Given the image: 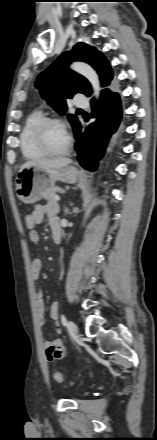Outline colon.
Masks as SVG:
<instances>
[{
  "label": "colon",
  "instance_id": "1",
  "mask_svg": "<svg viewBox=\"0 0 157 440\" xmlns=\"http://www.w3.org/2000/svg\"><path fill=\"white\" fill-rule=\"evenodd\" d=\"M25 221V226L27 229H29L30 231L35 230L37 223L32 215V213L27 214L24 218ZM63 348L61 346H54L52 347V349L50 350V354L54 357V358H61L63 356ZM53 378L57 383H63L64 382V378L62 376V374L55 370L53 372Z\"/></svg>",
  "mask_w": 157,
  "mask_h": 440
}]
</instances>
